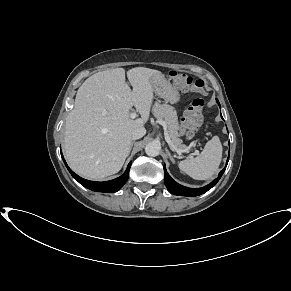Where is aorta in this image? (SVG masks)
<instances>
[{"label":"aorta","instance_id":"762f6f07","mask_svg":"<svg viewBox=\"0 0 291 291\" xmlns=\"http://www.w3.org/2000/svg\"><path fill=\"white\" fill-rule=\"evenodd\" d=\"M161 149V145L159 142L157 141H152L149 142L146 146H145V152L147 155L149 156H157L160 152Z\"/></svg>","mask_w":291,"mask_h":291}]
</instances>
